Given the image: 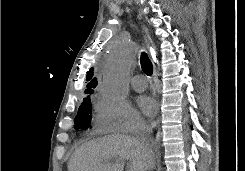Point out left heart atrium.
Listing matches in <instances>:
<instances>
[{
    "label": "left heart atrium",
    "instance_id": "1",
    "mask_svg": "<svg viewBox=\"0 0 245 171\" xmlns=\"http://www.w3.org/2000/svg\"><path fill=\"white\" fill-rule=\"evenodd\" d=\"M138 106L146 114L151 115L156 109V102L153 98L141 95L137 99Z\"/></svg>",
    "mask_w": 245,
    "mask_h": 171
}]
</instances>
